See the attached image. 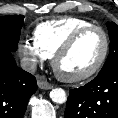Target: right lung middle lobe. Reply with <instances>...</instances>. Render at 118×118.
Here are the masks:
<instances>
[{"label": "right lung middle lobe", "mask_w": 118, "mask_h": 118, "mask_svg": "<svg viewBox=\"0 0 118 118\" xmlns=\"http://www.w3.org/2000/svg\"><path fill=\"white\" fill-rule=\"evenodd\" d=\"M23 15L0 17V49L15 52L23 25Z\"/></svg>", "instance_id": "obj_1"}]
</instances>
